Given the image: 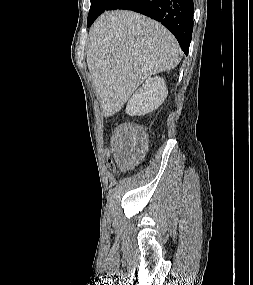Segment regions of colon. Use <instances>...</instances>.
Returning <instances> with one entry per match:
<instances>
[{"instance_id": "5ec220e1", "label": "colon", "mask_w": 253, "mask_h": 285, "mask_svg": "<svg viewBox=\"0 0 253 285\" xmlns=\"http://www.w3.org/2000/svg\"><path fill=\"white\" fill-rule=\"evenodd\" d=\"M104 153H105V154H104V157H105V158H108V157H109V154H110V151H109L108 149H105V150H104ZM106 171H107V172H110V171H111V168H110V167H107V168H106Z\"/></svg>"}]
</instances>
